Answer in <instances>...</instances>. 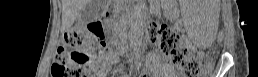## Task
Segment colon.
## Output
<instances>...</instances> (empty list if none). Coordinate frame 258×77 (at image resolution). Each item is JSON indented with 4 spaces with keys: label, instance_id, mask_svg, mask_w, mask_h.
Instances as JSON below:
<instances>
[{
    "label": "colon",
    "instance_id": "obj_1",
    "mask_svg": "<svg viewBox=\"0 0 258 77\" xmlns=\"http://www.w3.org/2000/svg\"><path fill=\"white\" fill-rule=\"evenodd\" d=\"M91 34L77 30L65 33L51 66L52 77H89L95 72V51L113 47L107 32L100 26ZM149 40L158 43L171 63L181 69L185 77H201L210 64L201 61L182 45L180 36L165 24L152 23L148 27Z\"/></svg>",
    "mask_w": 258,
    "mask_h": 77
}]
</instances>
